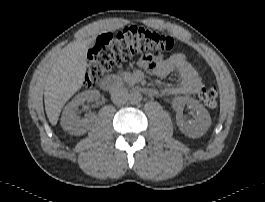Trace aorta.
Returning a JSON list of instances; mask_svg holds the SVG:
<instances>
[{
  "label": "aorta",
  "instance_id": "obj_1",
  "mask_svg": "<svg viewBox=\"0 0 265 202\" xmlns=\"http://www.w3.org/2000/svg\"><path fill=\"white\" fill-rule=\"evenodd\" d=\"M142 100V94L138 91H133L129 94V102L133 105H137Z\"/></svg>",
  "mask_w": 265,
  "mask_h": 202
}]
</instances>
